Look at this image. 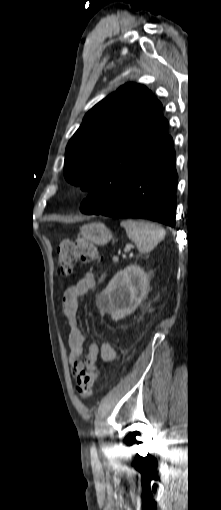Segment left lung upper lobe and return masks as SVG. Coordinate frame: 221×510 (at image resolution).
<instances>
[{"instance_id":"left-lung-upper-lobe-1","label":"left lung upper lobe","mask_w":221,"mask_h":510,"mask_svg":"<svg viewBox=\"0 0 221 510\" xmlns=\"http://www.w3.org/2000/svg\"><path fill=\"white\" fill-rule=\"evenodd\" d=\"M161 103L128 83L97 103L66 147L64 176L104 208L153 155L172 145Z\"/></svg>"}]
</instances>
